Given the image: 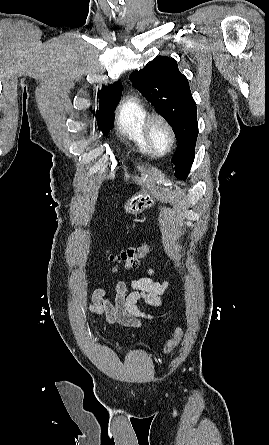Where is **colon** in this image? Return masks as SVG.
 <instances>
[{
  "instance_id": "colon-1",
  "label": "colon",
  "mask_w": 269,
  "mask_h": 445,
  "mask_svg": "<svg viewBox=\"0 0 269 445\" xmlns=\"http://www.w3.org/2000/svg\"><path fill=\"white\" fill-rule=\"evenodd\" d=\"M151 250V245L149 243H144L138 247H130L121 250L118 253L110 254L109 260L115 264L116 268L122 267L125 269H133L139 265V261L147 256ZM182 335V330L180 328L176 329L174 335L168 340L164 347V352L170 353L173 351L179 345Z\"/></svg>"
}]
</instances>
